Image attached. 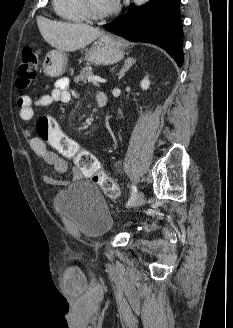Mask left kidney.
Instances as JSON below:
<instances>
[{
	"mask_svg": "<svg viewBox=\"0 0 233 328\" xmlns=\"http://www.w3.org/2000/svg\"><path fill=\"white\" fill-rule=\"evenodd\" d=\"M140 86L143 90H147L150 86V81L148 76H146L140 83Z\"/></svg>",
	"mask_w": 233,
	"mask_h": 328,
	"instance_id": "1",
	"label": "left kidney"
}]
</instances>
